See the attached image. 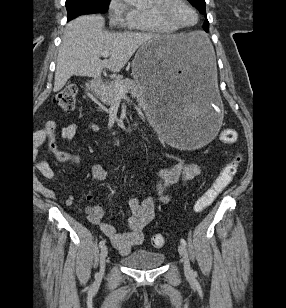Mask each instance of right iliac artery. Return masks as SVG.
Segmentation results:
<instances>
[{
  "instance_id": "right-iliac-artery-1",
  "label": "right iliac artery",
  "mask_w": 286,
  "mask_h": 308,
  "mask_svg": "<svg viewBox=\"0 0 286 308\" xmlns=\"http://www.w3.org/2000/svg\"><path fill=\"white\" fill-rule=\"evenodd\" d=\"M106 243V240L105 239H102L100 242H99V247L102 248Z\"/></svg>"
}]
</instances>
